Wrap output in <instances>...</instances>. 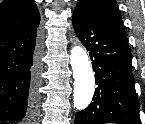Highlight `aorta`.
Listing matches in <instances>:
<instances>
[{
	"instance_id": "obj_1",
	"label": "aorta",
	"mask_w": 145,
	"mask_h": 124,
	"mask_svg": "<svg viewBox=\"0 0 145 124\" xmlns=\"http://www.w3.org/2000/svg\"><path fill=\"white\" fill-rule=\"evenodd\" d=\"M70 60L74 77V107L83 110L91 103L94 95V73L86 51L79 45L72 48Z\"/></svg>"
}]
</instances>
